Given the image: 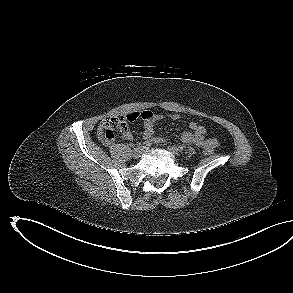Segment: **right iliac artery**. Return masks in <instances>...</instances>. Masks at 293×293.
Here are the masks:
<instances>
[{
	"label": "right iliac artery",
	"instance_id": "right-iliac-artery-1",
	"mask_svg": "<svg viewBox=\"0 0 293 293\" xmlns=\"http://www.w3.org/2000/svg\"><path fill=\"white\" fill-rule=\"evenodd\" d=\"M150 145H151V143H150V141H148V140L143 142V147H144V148H147V147H149Z\"/></svg>",
	"mask_w": 293,
	"mask_h": 293
}]
</instances>
